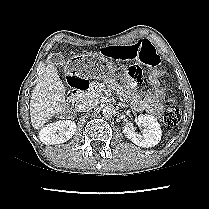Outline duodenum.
Listing matches in <instances>:
<instances>
[{
	"mask_svg": "<svg viewBox=\"0 0 209 209\" xmlns=\"http://www.w3.org/2000/svg\"><path fill=\"white\" fill-rule=\"evenodd\" d=\"M69 83L72 87V92L69 96V103L71 105H76L83 94L89 87V81L81 77H70Z\"/></svg>",
	"mask_w": 209,
	"mask_h": 209,
	"instance_id": "1",
	"label": "duodenum"
}]
</instances>
